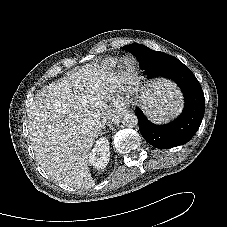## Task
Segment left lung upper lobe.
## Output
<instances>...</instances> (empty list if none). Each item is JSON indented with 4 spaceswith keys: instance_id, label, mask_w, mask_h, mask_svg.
<instances>
[{
    "instance_id": "1",
    "label": "left lung upper lobe",
    "mask_w": 227,
    "mask_h": 227,
    "mask_svg": "<svg viewBox=\"0 0 227 227\" xmlns=\"http://www.w3.org/2000/svg\"><path fill=\"white\" fill-rule=\"evenodd\" d=\"M136 46H137V44H131V45L124 46L123 49L130 52V49L134 48ZM161 53H162V58L158 61V63L168 64V63H172V62H175L178 60L177 58L172 57L168 54H165L163 52H161Z\"/></svg>"
}]
</instances>
